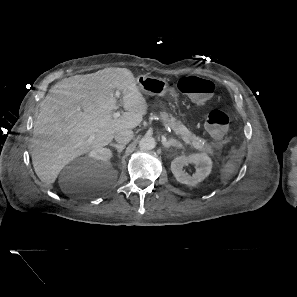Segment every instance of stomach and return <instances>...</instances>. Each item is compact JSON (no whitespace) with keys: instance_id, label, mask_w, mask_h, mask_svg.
Returning a JSON list of instances; mask_svg holds the SVG:
<instances>
[{"instance_id":"obj_1","label":"stomach","mask_w":297,"mask_h":297,"mask_svg":"<svg viewBox=\"0 0 297 297\" xmlns=\"http://www.w3.org/2000/svg\"><path fill=\"white\" fill-rule=\"evenodd\" d=\"M138 88L150 96H164L168 91V82L165 79L141 75L137 78Z\"/></svg>"}]
</instances>
